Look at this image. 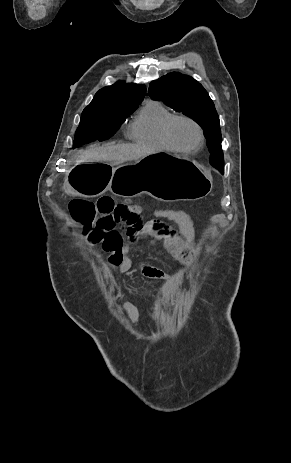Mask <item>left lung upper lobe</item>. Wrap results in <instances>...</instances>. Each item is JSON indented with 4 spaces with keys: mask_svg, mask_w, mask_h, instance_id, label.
<instances>
[{
    "mask_svg": "<svg viewBox=\"0 0 291 463\" xmlns=\"http://www.w3.org/2000/svg\"><path fill=\"white\" fill-rule=\"evenodd\" d=\"M148 94L152 99L161 100L196 121L208 140L211 165L219 171L224 170L220 121L214 103L203 86L188 75L172 72L152 81Z\"/></svg>",
    "mask_w": 291,
    "mask_h": 463,
    "instance_id": "5c2ea615",
    "label": "left lung upper lobe"
}]
</instances>
